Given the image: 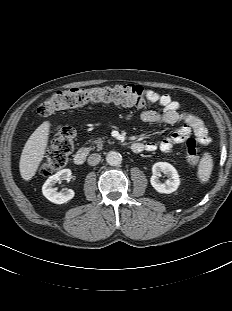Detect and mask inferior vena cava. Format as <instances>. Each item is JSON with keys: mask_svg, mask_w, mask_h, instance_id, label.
Masks as SVG:
<instances>
[{"mask_svg": "<svg viewBox=\"0 0 232 311\" xmlns=\"http://www.w3.org/2000/svg\"><path fill=\"white\" fill-rule=\"evenodd\" d=\"M100 160H101V155L94 153L88 157V164L91 166H95L100 162Z\"/></svg>", "mask_w": 232, "mask_h": 311, "instance_id": "602c4592", "label": "inferior vena cava"}]
</instances>
